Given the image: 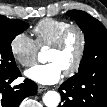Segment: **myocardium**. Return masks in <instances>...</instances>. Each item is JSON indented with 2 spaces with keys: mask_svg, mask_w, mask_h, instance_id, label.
I'll use <instances>...</instances> for the list:
<instances>
[{
  "mask_svg": "<svg viewBox=\"0 0 107 107\" xmlns=\"http://www.w3.org/2000/svg\"><path fill=\"white\" fill-rule=\"evenodd\" d=\"M76 33L79 37V48H78V52H77V56L73 62V64L64 71V74L67 77H71L74 74H76L85 57V53H86V46H87V39H86V34L84 32V30L77 26V25H71L68 28H66L57 38V40L51 45L52 49L55 50H60L61 48L64 47V45L66 44L68 38L70 37L71 34Z\"/></svg>",
  "mask_w": 107,
  "mask_h": 107,
  "instance_id": "1",
  "label": "myocardium"
}]
</instances>
